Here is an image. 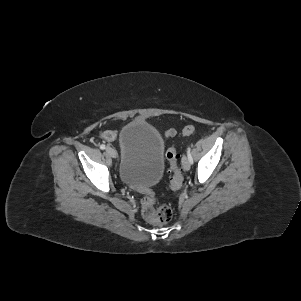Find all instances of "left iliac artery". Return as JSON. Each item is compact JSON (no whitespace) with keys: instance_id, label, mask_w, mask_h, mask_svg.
I'll use <instances>...</instances> for the list:
<instances>
[{"instance_id":"44dca946","label":"left iliac artery","mask_w":301,"mask_h":301,"mask_svg":"<svg viewBox=\"0 0 301 301\" xmlns=\"http://www.w3.org/2000/svg\"><path fill=\"white\" fill-rule=\"evenodd\" d=\"M191 148L190 147H188L187 148V157H188V159H189V162L191 163V164H193V158H192V156H191Z\"/></svg>"}]
</instances>
